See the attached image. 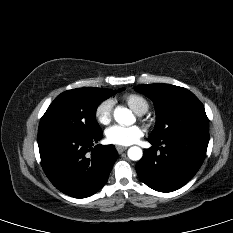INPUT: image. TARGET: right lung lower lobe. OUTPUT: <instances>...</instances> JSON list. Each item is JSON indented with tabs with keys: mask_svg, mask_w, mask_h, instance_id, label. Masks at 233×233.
Segmentation results:
<instances>
[{
	"mask_svg": "<svg viewBox=\"0 0 233 233\" xmlns=\"http://www.w3.org/2000/svg\"><path fill=\"white\" fill-rule=\"evenodd\" d=\"M102 136V132H38L42 168L58 190L74 198H86L105 185L118 153L114 145L99 144L92 148Z\"/></svg>",
	"mask_w": 233,
	"mask_h": 233,
	"instance_id": "1",
	"label": "right lung lower lobe"
}]
</instances>
